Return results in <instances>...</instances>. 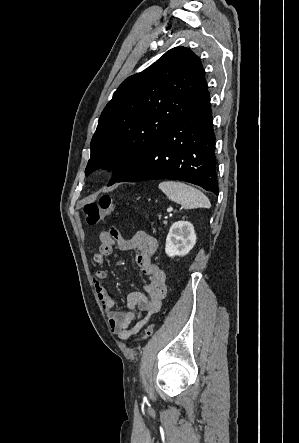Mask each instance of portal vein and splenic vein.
I'll list each match as a JSON object with an SVG mask.
<instances>
[{"mask_svg": "<svg viewBox=\"0 0 299 443\" xmlns=\"http://www.w3.org/2000/svg\"><path fill=\"white\" fill-rule=\"evenodd\" d=\"M173 209L172 208H168L167 209V212H171Z\"/></svg>", "mask_w": 299, "mask_h": 443, "instance_id": "obj_1", "label": "portal vein and splenic vein"}]
</instances>
